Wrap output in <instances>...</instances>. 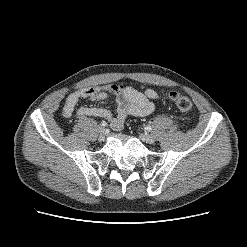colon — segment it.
<instances>
[{"mask_svg":"<svg viewBox=\"0 0 247 247\" xmlns=\"http://www.w3.org/2000/svg\"><path fill=\"white\" fill-rule=\"evenodd\" d=\"M170 101L182 112H190L192 110L191 100L175 91H171L168 94Z\"/></svg>","mask_w":247,"mask_h":247,"instance_id":"obj_1","label":"colon"}]
</instances>
